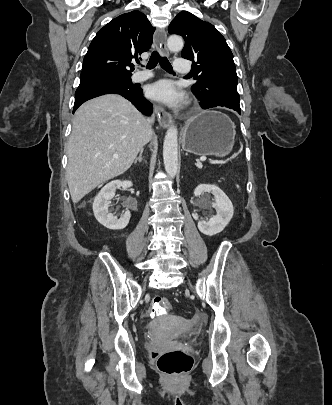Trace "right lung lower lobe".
Instances as JSON below:
<instances>
[{"label": "right lung lower lobe", "instance_id": "obj_1", "mask_svg": "<svg viewBox=\"0 0 332 405\" xmlns=\"http://www.w3.org/2000/svg\"><path fill=\"white\" fill-rule=\"evenodd\" d=\"M108 93L120 94L121 96L131 101V103L145 115L149 116L152 113V104L143 97L141 88H127L124 86L108 83H98L87 85L84 87H78L75 92V103L73 112H75L76 109L85 101Z\"/></svg>", "mask_w": 332, "mask_h": 405}]
</instances>
